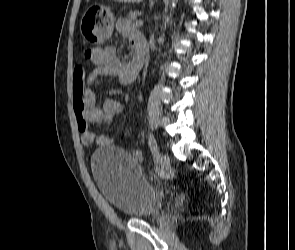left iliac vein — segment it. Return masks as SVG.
<instances>
[{
	"label": "left iliac vein",
	"instance_id": "1",
	"mask_svg": "<svg viewBox=\"0 0 295 250\" xmlns=\"http://www.w3.org/2000/svg\"><path fill=\"white\" fill-rule=\"evenodd\" d=\"M156 159L160 161L162 168L166 167L168 157L164 153L157 150Z\"/></svg>",
	"mask_w": 295,
	"mask_h": 250
}]
</instances>
